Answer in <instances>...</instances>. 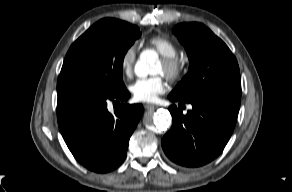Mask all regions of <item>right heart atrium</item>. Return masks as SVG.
<instances>
[{
  "mask_svg": "<svg viewBox=\"0 0 292 192\" xmlns=\"http://www.w3.org/2000/svg\"><path fill=\"white\" fill-rule=\"evenodd\" d=\"M136 60V50L134 46H129L122 53L120 58V68L124 75L130 77L133 73Z\"/></svg>",
  "mask_w": 292,
  "mask_h": 192,
  "instance_id": "obj_1",
  "label": "right heart atrium"
}]
</instances>
